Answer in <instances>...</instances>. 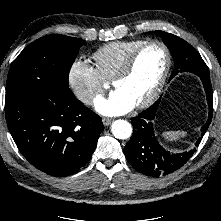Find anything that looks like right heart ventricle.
<instances>
[{
    "label": "right heart ventricle",
    "mask_w": 221,
    "mask_h": 221,
    "mask_svg": "<svg viewBox=\"0 0 221 221\" xmlns=\"http://www.w3.org/2000/svg\"><path fill=\"white\" fill-rule=\"evenodd\" d=\"M145 40H125L107 43L98 48L93 59L97 69L104 79H113L120 70L127 57Z\"/></svg>",
    "instance_id": "right-heart-ventricle-1"
}]
</instances>
